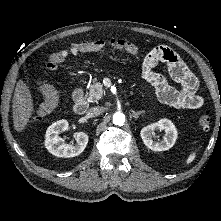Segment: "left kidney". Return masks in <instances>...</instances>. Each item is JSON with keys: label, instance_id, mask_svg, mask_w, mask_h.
Returning a JSON list of instances; mask_svg holds the SVG:
<instances>
[{"label": "left kidney", "instance_id": "1", "mask_svg": "<svg viewBox=\"0 0 221 221\" xmlns=\"http://www.w3.org/2000/svg\"><path fill=\"white\" fill-rule=\"evenodd\" d=\"M163 130L165 137L162 140L155 141L154 132ZM141 138L144 144L153 151H166L173 147L177 139V130L175 125L168 119H161L156 123L150 124L141 130Z\"/></svg>", "mask_w": 221, "mask_h": 221}]
</instances>
